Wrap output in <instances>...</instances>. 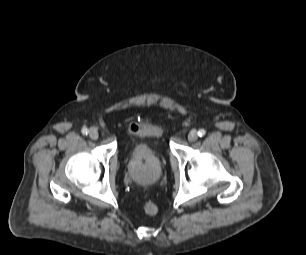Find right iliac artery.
Listing matches in <instances>:
<instances>
[{
	"mask_svg": "<svg viewBox=\"0 0 306 255\" xmlns=\"http://www.w3.org/2000/svg\"><path fill=\"white\" fill-rule=\"evenodd\" d=\"M82 133H83L84 135H87V134H88V129H87V128H83V129H82Z\"/></svg>",
	"mask_w": 306,
	"mask_h": 255,
	"instance_id": "right-iliac-artery-1",
	"label": "right iliac artery"
}]
</instances>
